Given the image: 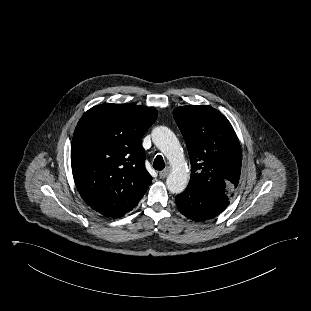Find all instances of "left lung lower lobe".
<instances>
[{
    "instance_id": "obj_1",
    "label": "left lung lower lobe",
    "mask_w": 311,
    "mask_h": 311,
    "mask_svg": "<svg viewBox=\"0 0 311 311\" xmlns=\"http://www.w3.org/2000/svg\"><path fill=\"white\" fill-rule=\"evenodd\" d=\"M179 211L194 221H204L216 217L226 209L229 200L216 197L193 185L176 196Z\"/></svg>"
}]
</instances>
